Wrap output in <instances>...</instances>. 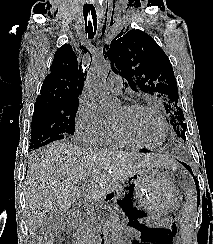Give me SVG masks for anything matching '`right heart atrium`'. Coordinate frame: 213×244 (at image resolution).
Wrapping results in <instances>:
<instances>
[{
  "mask_svg": "<svg viewBox=\"0 0 213 244\" xmlns=\"http://www.w3.org/2000/svg\"><path fill=\"white\" fill-rule=\"evenodd\" d=\"M110 127L96 108L89 102H81L75 117V137L87 144L100 145Z\"/></svg>",
  "mask_w": 213,
  "mask_h": 244,
  "instance_id": "right-heart-atrium-1",
  "label": "right heart atrium"
}]
</instances>
